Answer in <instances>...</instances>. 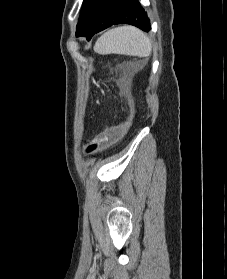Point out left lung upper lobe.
<instances>
[{"instance_id": "obj_1", "label": "left lung upper lobe", "mask_w": 227, "mask_h": 279, "mask_svg": "<svg viewBox=\"0 0 227 279\" xmlns=\"http://www.w3.org/2000/svg\"><path fill=\"white\" fill-rule=\"evenodd\" d=\"M92 2H93V0H84L83 1L81 14H80L79 21H78V24H77V31L81 28V26H82V24L85 20L87 11H88Z\"/></svg>"}]
</instances>
